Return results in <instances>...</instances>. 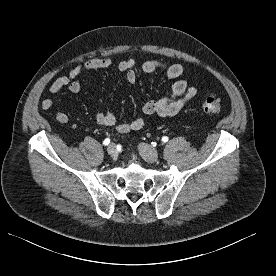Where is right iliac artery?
<instances>
[{
	"mask_svg": "<svg viewBox=\"0 0 276 276\" xmlns=\"http://www.w3.org/2000/svg\"><path fill=\"white\" fill-rule=\"evenodd\" d=\"M110 143V139L109 138H106L103 142L104 145H108Z\"/></svg>",
	"mask_w": 276,
	"mask_h": 276,
	"instance_id": "82829eb1",
	"label": "right iliac artery"
}]
</instances>
